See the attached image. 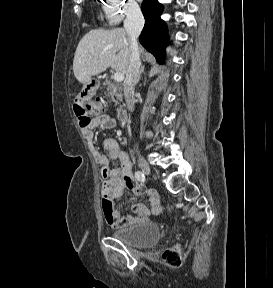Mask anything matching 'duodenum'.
<instances>
[{
	"label": "duodenum",
	"mask_w": 273,
	"mask_h": 288,
	"mask_svg": "<svg viewBox=\"0 0 273 288\" xmlns=\"http://www.w3.org/2000/svg\"><path fill=\"white\" fill-rule=\"evenodd\" d=\"M117 116L120 123H126L129 118L128 113L125 110H119Z\"/></svg>",
	"instance_id": "obj_1"
}]
</instances>
